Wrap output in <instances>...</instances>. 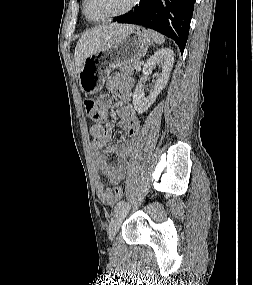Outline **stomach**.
<instances>
[{"instance_id": "stomach-1", "label": "stomach", "mask_w": 253, "mask_h": 285, "mask_svg": "<svg viewBox=\"0 0 253 285\" xmlns=\"http://www.w3.org/2000/svg\"><path fill=\"white\" fill-rule=\"evenodd\" d=\"M152 42L153 38L144 28L133 26L128 29L114 41L84 60L78 72L81 90L86 95L99 92L111 71L139 62Z\"/></svg>"}]
</instances>
